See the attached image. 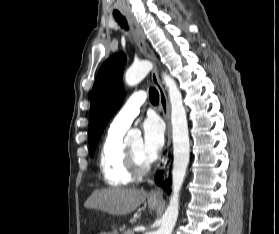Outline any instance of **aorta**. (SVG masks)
I'll return each instance as SVG.
<instances>
[{"label":"aorta","mask_w":279,"mask_h":234,"mask_svg":"<svg viewBox=\"0 0 279 234\" xmlns=\"http://www.w3.org/2000/svg\"><path fill=\"white\" fill-rule=\"evenodd\" d=\"M153 65L150 61H140L133 64L125 74L128 86H135L151 71ZM168 88L171 104V123L173 138V170L172 193L169 205L162 217L161 225L156 234H171L176 224L179 213V193L182 188L187 167L189 164L190 144L186 111L183 105L182 94L175 80L168 74L162 75ZM138 130H130L125 141H129L134 135H139Z\"/></svg>","instance_id":"aorta-1"}]
</instances>
